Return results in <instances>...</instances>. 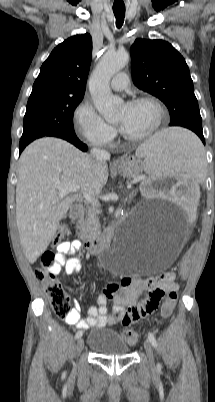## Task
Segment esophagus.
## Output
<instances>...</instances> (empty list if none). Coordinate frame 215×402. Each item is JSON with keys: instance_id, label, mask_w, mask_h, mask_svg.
<instances>
[{"instance_id": "34e87169", "label": "esophagus", "mask_w": 215, "mask_h": 402, "mask_svg": "<svg viewBox=\"0 0 215 402\" xmlns=\"http://www.w3.org/2000/svg\"><path fill=\"white\" fill-rule=\"evenodd\" d=\"M119 164H120V160H119V159L113 160V165H114V166H118Z\"/></svg>"}]
</instances>
